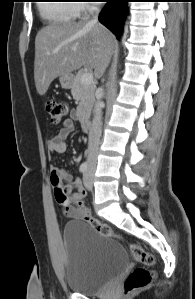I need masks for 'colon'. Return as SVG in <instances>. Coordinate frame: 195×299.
I'll list each match as a JSON object with an SVG mask.
<instances>
[{
	"label": "colon",
	"instance_id": "colon-1",
	"mask_svg": "<svg viewBox=\"0 0 195 299\" xmlns=\"http://www.w3.org/2000/svg\"><path fill=\"white\" fill-rule=\"evenodd\" d=\"M45 108L51 118L52 123L54 124L64 120L68 115L67 104L61 101L48 100L46 102ZM52 185L54 187L55 198L60 205L73 203L77 209L79 217L88 223L95 231L102 236L122 240V237L116 234L109 225L92 216L88 208L81 200L72 201L65 187L60 183L59 179H57ZM128 246L134 259L142 266L134 269L125 279L123 288L126 295L143 289L152 282L154 276L149 270V267L155 264L154 255L145 250L142 246L134 243H128Z\"/></svg>",
	"mask_w": 195,
	"mask_h": 299
}]
</instances>
